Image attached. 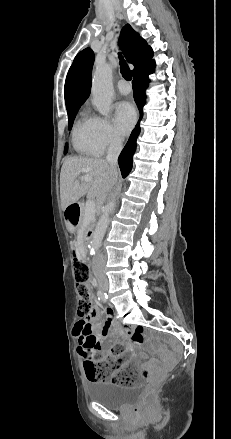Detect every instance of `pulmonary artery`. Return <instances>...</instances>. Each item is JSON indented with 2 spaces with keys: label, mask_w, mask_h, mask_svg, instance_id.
Here are the masks:
<instances>
[{
  "label": "pulmonary artery",
  "mask_w": 231,
  "mask_h": 439,
  "mask_svg": "<svg viewBox=\"0 0 231 439\" xmlns=\"http://www.w3.org/2000/svg\"><path fill=\"white\" fill-rule=\"evenodd\" d=\"M117 87L122 94H128L131 91L130 85L125 80H120L117 84Z\"/></svg>",
  "instance_id": "obj_1"
}]
</instances>
